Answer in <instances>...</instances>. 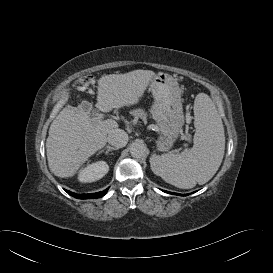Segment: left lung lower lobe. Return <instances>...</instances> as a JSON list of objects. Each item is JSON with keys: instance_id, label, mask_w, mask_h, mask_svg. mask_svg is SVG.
<instances>
[{"instance_id": "1", "label": "left lung lower lobe", "mask_w": 273, "mask_h": 273, "mask_svg": "<svg viewBox=\"0 0 273 273\" xmlns=\"http://www.w3.org/2000/svg\"><path fill=\"white\" fill-rule=\"evenodd\" d=\"M163 192H166V193H169V194L181 195V194L171 193V192H168V191H163ZM181 196H186V195L183 194Z\"/></svg>"}]
</instances>
